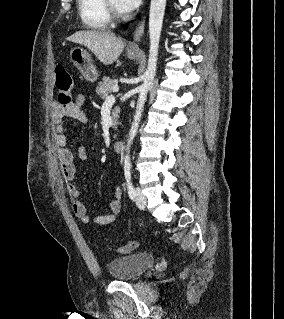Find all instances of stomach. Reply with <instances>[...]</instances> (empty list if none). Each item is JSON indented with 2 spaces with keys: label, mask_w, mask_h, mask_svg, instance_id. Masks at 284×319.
Segmentation results:
<instances>
[{
  "label": "stomach",
  "mask_w": 284,
  "mask_h": 319,
  "mask_svg": "<svg viewBox=\"0 0 284 319\" xmlns=\"http://www.w3.org/2000/svg\"><path fill=\"white\" fill-rule=\"evenodd\" d=\"M127 57L130 60H135L138 55L134 53H127ZM70 59L87 81H96L98 78V72L93 65L91 55L86 50L81 47H74L70 51Z\"/></svg>",
  "instance_id": "1"
}]
</instances>
